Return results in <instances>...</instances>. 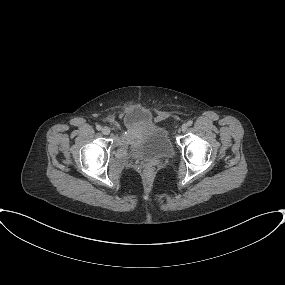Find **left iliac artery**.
I'll return each instance as SVG.
<instances>
[{
  "instance_id": "left-iliac-artery-1",
  "label": "left iliac artery",
  "mask_w": 285,
  "mask_h": 285,
  "mask_svg": "<svg viewBox=\"0 0 285 285\" xmlns=\"http://www.w3.org/2000/svg\"><path fill=\"white\" fill-rule=\"evenodd\" d=\"M187 124H188V126H191V125L193 124V121L189 120V121L187 122Z\"/></svg>"
}]
</instances>
